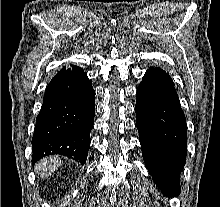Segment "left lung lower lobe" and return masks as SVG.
<instances>
[{
  "instance_id": "0a47b994",
  "label": "left lung lower lobe",
  "mask_w": 220,
  "mask_h": 207,
  "mask_svg": "<svg viewBox=\"0 0 220 207\" xmlns=\"http://www.w3.org/2000/svg\"><path fill=\"white\" fill-rule=\"evenodd\" d=\"M135 112L142 156L154 182L166 194H179L187 127L174 83L161 68L146 71Z\"/></svg>"
}]
</instances>
